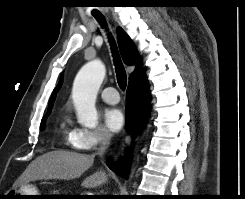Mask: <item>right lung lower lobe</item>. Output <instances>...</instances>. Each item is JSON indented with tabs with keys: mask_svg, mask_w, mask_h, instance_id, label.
<instances>
[{
	"mask_svg": "<svg viewBox=\"0 0 245 199\" xmlns=\"http://www.w3.org/2000/svg\"><path fill=\"white\" fill-rule=\"evenodd\" d=\"M150 108L149 87L146 82L128 84L126 96V121L133 131L140 130L148 117ZM108 167L117 175L127 178L128 161L116 164L109 160Z\"/></svg>",
	"mask_w": 245,
	"mask_h": 199,
	"instance_id": "obj_1",
	"label": "right lung lower lobe"
}]
</instances>
